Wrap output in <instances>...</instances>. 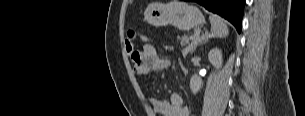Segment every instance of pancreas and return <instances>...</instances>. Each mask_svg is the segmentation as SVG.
<instances>
[{
  "mask_svg": "<svg viewBox=\"0 0 305 116\" xmlns=\"http://www.w3.org/2000/svg\"><path fill=\"white\" fill-rule=\"evenodd\" d=\"M193 37H188V36L185 35V36H182L181 38H179L180 41H181V45L184 47L183 48V54L186 55L187 53H189V51L192 50V46L188 45V43H189V40L192 39Z\"/></svg>",
  "mask_w": 305,
  "mask_h": 116,
  "instance_id": "pancreas-1",
  "label": "pancreas"
}]
</instances>
